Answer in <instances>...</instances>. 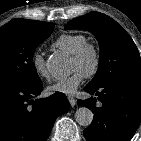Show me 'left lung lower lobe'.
I'll return each instance as SVG.
<instances>
[{"instance_id":"obj_1","label":"left lung lower lobe","mask_w":141,"mask_h":141,"mask_svg":"<svg viewBox=\"0 0 141 141\" xmlns=\"http://www.w3.org/2000/svg\"><path fill=\"white\" fill-rule=\"evenodd\" d=\"M96 98L78 100L80 106L92 110L94 119L84 130L87 141H130L141 119V81L117 80L99 87L86 86Z\"/></svg>"}]
</instances>
